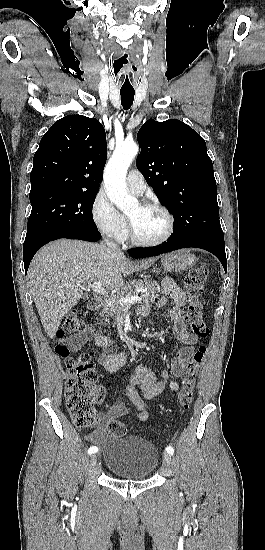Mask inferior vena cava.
Here are the masks:
<instances>
[{
    "instance_id": "1",
    "label": "inferior vena cava",
    "mask_w": 265,
    "mask_h": 550,
    "mask_svg": "<svg viewBox=\"0 0 265 550\" xmlns=\"http://www.w3.org/2000/svg\"><path fill=\"white\" fill-rule=\"evenodd\" d=\"M106 242V245L113 251V252H121L120 248L118 247V245L114 242H111V241H108V240H105Z\"/></svg>"
}]
</instances>
